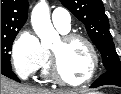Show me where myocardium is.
I'll return each mask as SVG.
<instances>
[{
    "instance_id": "1",
    "label": "myocardium",
    "mask_w": 121,
    "mask_h": 94,
    "mask_svg": "<svg viewBox=\"0 0 121 94\" xmlns=\"http://www.w3.org/2000/svg\"><path fill=\"white\" fill-rule=\"evenodd\" d=\"M61 39L65 43H68L74 40H80L84 42L91 56L92 69L88 77L85 78L83 81H80V82L69 81L61 73L60 66H59V59H58L57 54L53 50H51V74H52L53 79L57 83L63 86H68V87H80V86H84L90 83L96 76L98 69H99V56L95 49V46L86 36L79 34V33H64Z\"/></svg>"
}]
</instances>
